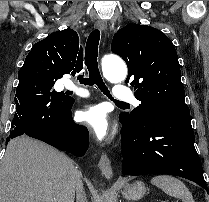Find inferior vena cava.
Here are the masks:
<instances>
[{
	"label": "inferior vena cava",
	"instance_id": "inferior-vena-cava-1",
	"mask_svg": "<svg viewBox=\"0 0 209 202\" xmlns=\"http://www.w3.org/2000/svg\"><path fill=\"white\" fill-rule=\"evenodd\" d=\"M76 202H88L86 194L83 189L81 176H79L77 183H76Z\"/></svg>",
	"mask_w": 209,
	"mask_h": 202
}]
</instances>
